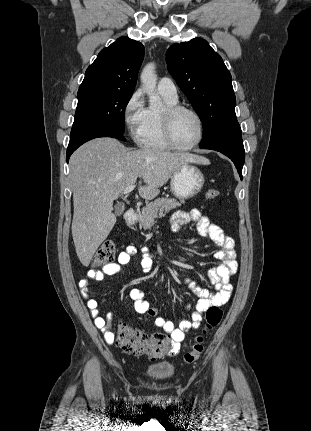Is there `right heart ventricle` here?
<instances>
[{"instance_id":"obj_1","label":"right heart ventricle","mask_w":311,"mask_h":431,"mask_svg":"<svg viewBox=\"0 0 311 431\" xmlns=\"http://www.w3.org/2000/svg\"><path fill=\"white\" fill-rule=\"evenodd\" d=\"M165 106L178 104V97H171L161 94ZM164 109L156 110L153 108L147 109L144 122L140 128L139 141L147 149L166 150L169 145L163 138L162 132V113Z\"/></svg>"}]
</instances>
